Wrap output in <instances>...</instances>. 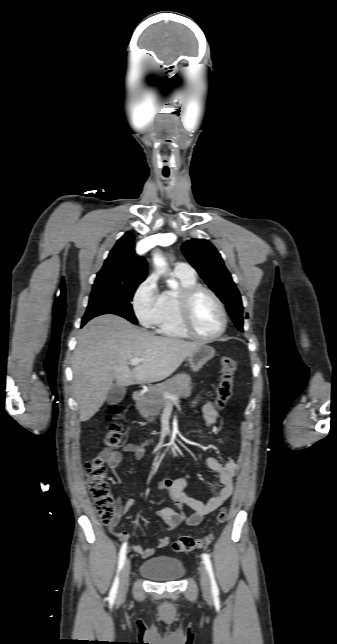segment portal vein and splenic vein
<instances>
[{"label":"portal vein and splenic vein","instance_id":"18ae733b","mask_svg":"<svg viewBox=\"0 0 337 644\" xmlns=\"http://www.w3.org/2000/svg\"><path fill=\"white\" fill-rule=\"evenodd\" d=\"M141 362H142V359H141V358H133V359H131V360L129 361V364H130L131 366H135V365H138V364H139V363H141ZM164 396H165L166 398L170 399V400H177V397H176V396H174V395H170V394H168V393H164Z\"/></svg>","mask_w":337,"mask_h":644}]
</instances>
